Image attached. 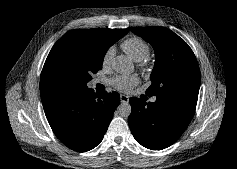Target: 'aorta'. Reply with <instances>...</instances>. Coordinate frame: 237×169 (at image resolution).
Returning <instances> with one entry per match:
<instances>
[{
    "label": "aorta",
    "instance_id": "aorta-1",
    "mask_svg": "<svg viewBox=\"0 0 237 169\" xmlns=\"http://www.w3.org/2000/svg\"><path fill=\"white\" fill-rule=\"evenodd\" d=\"M112 68L115 72L120 74L132 73L134 65L132 60L124 55H119L113 59ZM132 108L129 102H122L117 107V113L120 117L127 118L131 114Z\"/></svg>",
    "mask_w": 237,
    "mask_h": 169
}]
</instances>
